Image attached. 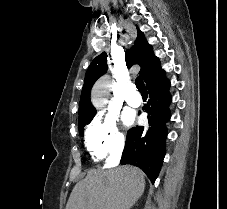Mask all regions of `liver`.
<instances>
[{
	"label": "liver",
	"mask_w": 227,
	"mask_h": 209,
	"mask_svg": "<svg viewBox=\"0 0 227 209\" xmlns=\"http://www.w3.org/2000/svg\"><path fill=\"white\" fill-rule=\"evenodd\" d=\"M145 191V175L137 167L92 169L75 185L66 209H131Z\"/></svg>",
	"instance_id": "6515ba94"
}]
</instances>
